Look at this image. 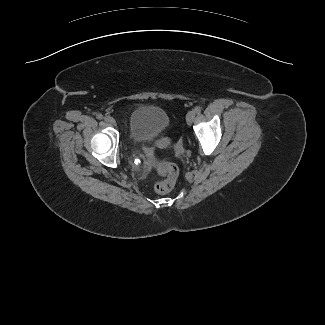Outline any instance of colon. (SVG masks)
<instances>
[{"label":"colon","instance_id":"1","mask_svg":"<svg viewBox=\"0 0 325 325\" xmlns=\"http://www.w3.org/2000/svg\"><path fill=\"white\" fill-rule=\"evenodd\" d=\"M167 144H169L168 140H162L158 143L160 147H164ZM158 173L163 177V179L154 183V191L159 194L170 192L174 188L178 179V167L173 163H164L158 168Z\"/></svg>","mask_w":325,"mask_h":325}]
</instances>
